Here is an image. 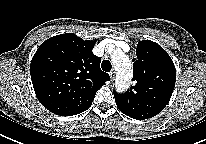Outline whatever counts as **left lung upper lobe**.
<instances>
[{
  "label": "left lung upper lobe",
  "mask_w": 206,
  "mask_h": 144,
  "mask_svg": "<svg viewBox=\"0 0 206 144\" xmlns=\"http://www.w3.org/2000/svg\"><path fill=\"white\" fill-rule=\"evenodd\" d=\"M133 59L132 86L124 94L114 92L128 116L148 119L168 104L176 82V69L168 53L150 40L139 41Z\"/></svg>",
  "instance_id": "obj_1"
}]
</instances>
